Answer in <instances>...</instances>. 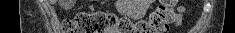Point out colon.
<instances>
[{
  "label": "colon",
  "mask_w": 235,
  "mask_h": 33,
  "mask_svg": "<svg viewBox=\"0 0 235 33\" xmlns=\"http://www.w3.org/2000/svg\"><path fill=\"white\" fill-rule=\"evenodd\" d=\"M176 0H163L147 20L133 23L127 17L94 11L82 12L63 22L66 33H167L175 14Z\"/></svg>",
  "instance_id": "1"
}]
</instances>
